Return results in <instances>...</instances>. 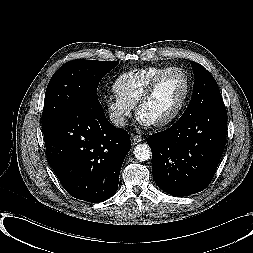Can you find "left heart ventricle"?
Instances as JSON below:
<instances>
[{
	"label": "left heart ventricle",
	"mask_w": 253,
	"mask_h": 253,
	"mask_svg": "<svg viewBox=\"0 0 253 253\" xmlns=\"http://www.w3.org/2000/svg\"><path fill=\"white\" fill-rule=\"evenodd\" d=\"M185 89L181 74H168L157 87L151 100L140 113L150 123L160 120L174 111L180 102Z\"/></svg>",
	"instance_id": "obj_1"
}]
</instances>
